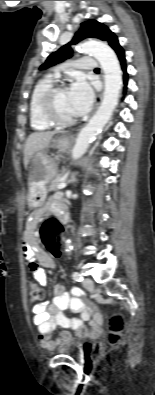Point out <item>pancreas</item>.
<instances>
[{
    "mask_svg": "<svg viewBox=\"0 0 155 395\" xmlns=\"http://www.w3.org/2000/svg\"><path fill=\"white\" fill-rule=\"evenodd\" d=\"M63 178L62 174H58L55 177H53L50 181H49V185H48V190L49 191H56L57 185L61 182Z\"/></svg>",
    "mask_w": 155,
    "mask_h": 395,
    "instance_id": "obj_1",
    "label": "pancreas"
}]
</instances>
